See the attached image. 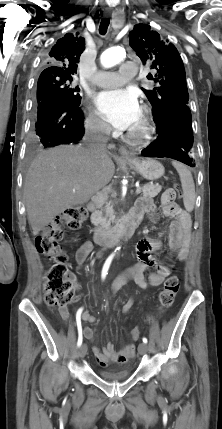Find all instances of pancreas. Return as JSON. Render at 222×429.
<instances>
[{
	"instance_id": "pancreas-1",
	"label": "pancreas",
	"mask_w": 222,
	"mask_h": 429,
	"mask_svg": "<svg viewBox=\"0 0 222 429\" xmlns=\"http://www.w3.org/2000/svg\"><path fill=\"white\" fill-rule=\"evenodd\" d=\"M144 197H155L161 191L162 187L156 184H145L142 188ZM114 222V210L111 202H106L105 207L98 212V223L100 230L107 231L110 229L111 223Z\"/></svg>"
}]
</instances>
